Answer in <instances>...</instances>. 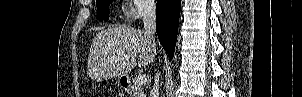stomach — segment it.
I'll return each mask as SVG.
<instances>
[{
  "mask_svg": "<svg viewBox=\"0 0 302 97\" xmlns=\"http://www.w3.org/2000/svg\"><path fill=\"white\" fill-rule=\"evenodd\" d=\"M127 81H128V77L126 75L119 76L117 80L118 84L121 87H125L127 85Z\"/></svg>",
  "mask_w": 302,
  "mask_h": 97,
  "instance_id": "1",
  "label": "stomach"
}]
</instances>
